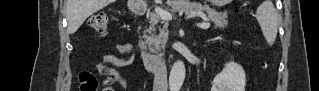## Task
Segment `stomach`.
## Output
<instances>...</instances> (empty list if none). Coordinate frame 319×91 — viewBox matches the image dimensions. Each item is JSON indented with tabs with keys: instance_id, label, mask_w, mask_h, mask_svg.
I'll return each instance as SVG.
<instances>
[{
	"instance_id": "stomach-1",
	"label": "stomach",
	"mask_w": 319,
	"mask_h": 91,
	"mask_svg": "<svg viewBox=\"0 0 319 91\" xmlns=\"http://www.w3.org/2000/svg\"><path fill=\"white\" fill-rule=\"evenodd\" d=\"M224 2H226V1H221L220 3H224Z\"/></svg>"
}]
</instances>
